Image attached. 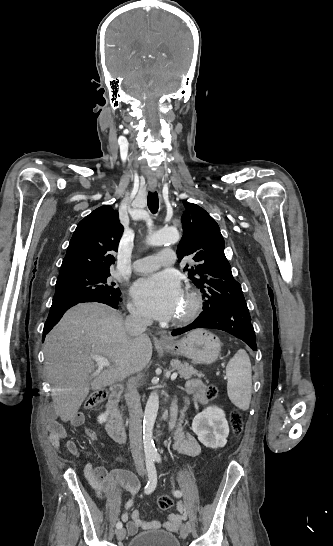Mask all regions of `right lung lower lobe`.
Returning <instances> with one entry per match:
<instances>
[{
  "label": "right lung lower lobe",
  "mask_w": 333,
  "mask_h": 546,
  "mask_svg": "<svg viewBox=\"0 0 333 546\" xmlns=\"http://www.w3.org/2000/svg\"><path fill=\"white\" fill-rule=\"evenodd\" d=\"M121 301L120 297L117 296H107V295H101V296H88V297H82V298H76V299H69V300H63V301H55L52 303V306L50 308V312L47 318V321L45 322V326L43 329V337L44 340L45 336L49 331L59 322L63 314L72 306L78 304V303H84V302H100L107 304L115 309H119V302Z\"/></svg>",
  "instance_id": "right-lung-lower-lobe-1"
}]
</instances>
